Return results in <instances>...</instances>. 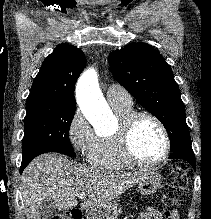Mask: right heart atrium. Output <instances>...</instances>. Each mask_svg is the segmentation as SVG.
I'll use <instances>...</instances> for the list:
<instances>
[{"instance_id": "d8ad5b80", "label": "right heart atrium", "mask_w": 211, "mask_h": 219, "mask_svg": "<svg viewBox=\"0 0 211 219\" xmlns=\"http://www.w3.org/2000/svg\"><path fill=\"white\" fill-rule=\"evenodd\" d=\"M67 139L70 146L82 156H88L95 145L97 136L79 110L73 113L68 123Z\"/></svg>"}]
</instances>
